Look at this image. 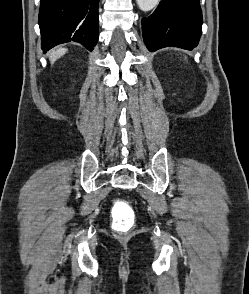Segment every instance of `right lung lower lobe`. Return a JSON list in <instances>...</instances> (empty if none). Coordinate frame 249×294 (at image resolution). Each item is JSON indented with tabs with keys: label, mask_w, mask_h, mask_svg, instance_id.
<instances>
[{
	"label": "right lung lower lobe",
	"mask_w": 249,
	"mask_h": 294,
	"mask_svg": "<svg viewBox=\"0 0 249 294\" xmlns=\"http://www.w3.org/2000/svg\"><path fill=\"white\" fill-rule=\"evenodd\" d=\"M98 3L99 0H41L42 50L75 41L92 51L98 39Z\"/></svg>",
	"instance_id": "1"
}]
</instances>
